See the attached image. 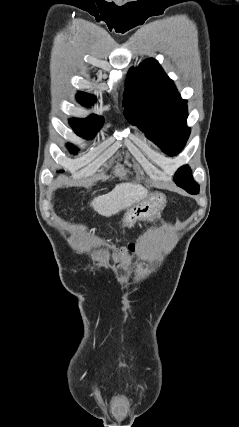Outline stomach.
Here are the masks:
<instances>
[{
	"label": "stomach",
	"mask_w": 239,
	"mask_h": 427,
	"mask_svg": "<svg viewBox=\"0 0 239 427\" xmlns=\"http://www.w3.org/2000/svg\"><path fill=\"white\" fill-rule=\"evenodd\" d=\"M166 198L161 193H156L149 200L141 202L128 210L124 216L125 226H133L138 220H150L165 205Z\"/></svg>",
	"instance_id": "1"
}]
</instances>
